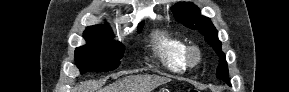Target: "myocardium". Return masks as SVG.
<instances>
[{"instance_id": "1", "label": "myocardium", "mask_w": 289, "mask_h": 92, "mask_svg": "<svg viewBox=\"0 0 289 92\" xmlns=\"http://www.w3.org/2000/svg\"><path fill=\"white\" fill-rule=\"evenodd\" d=\"M200 60V49L195 45L188 46L185 53V61L187 66L194 67L200 62Z\"/></svg>"}]
</instances>
